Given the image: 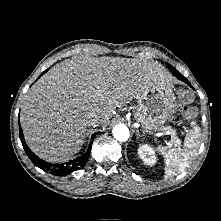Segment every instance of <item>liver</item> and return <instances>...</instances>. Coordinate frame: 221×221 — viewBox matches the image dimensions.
Masks as SVG:
<instances>
[{
	"instance_id": "1",
	"label": "liver",
	"mask_w": 221,
	"mask_h": 221,
	"mask_svg": "<svg viewBox=\"0 0 221 221\" xmlns=\"http://www.w3.org/2000/svg\"><path fill=\"white\" fill-rule=\"evenodd\" d=\"M158 82H169L157 62L125 58L74 57L56 64L28 91L20 123L40 158L64 162L78 153L89 120L107 126L116 109Z\"/></svg>"
}]
</instances>
